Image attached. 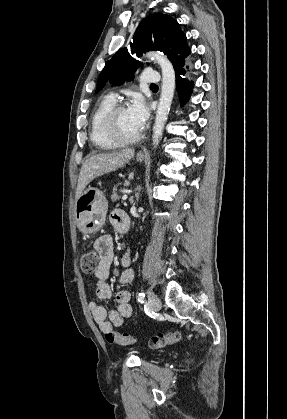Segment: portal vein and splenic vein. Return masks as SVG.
<instances>
[{
  "instance_id": "18ae733b",
  "label": "portal vein and splenic vein",
  "mask_w": 287,
  "mask_h": 419,
  "mask_svg": "<svg viewBox=\"0 0 287 419\" xmlns=\"http://www.w3.org/2000/svg\"><path fill=\"white\" fill-rule=\"evenodd\" d=\"M127 197H128V195H127V194H124V195L122 196V200H126V199H127Z\"/></svg>"
}]
</instances>
